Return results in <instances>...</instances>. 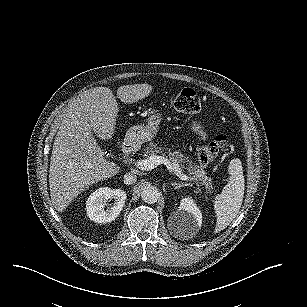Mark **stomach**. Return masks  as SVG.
<instances>
[{"instance_id":"obj_1","label":"stomach","mask_w":307,"mask_h":307,"mask_svg":"<svg viewBox=\"0 0 307 307\" xmlns=\"http://www.w3.org/2000/svg\"><path fill=\"white\" fill-rule=\"evenodd\" d=\"M159 120V116L153 115L147 119L145 125H135L129 128L124 141L131 145H141L151 140L156 135Z\"/></svg>"}]
</instances>
